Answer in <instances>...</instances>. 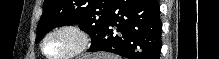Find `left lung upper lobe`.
<instances>
[{"mask_svg": "<svg viewBox=\"0 0 219 59\" xmlns=\"http://www.w3.org/2000/svg\"><path fill=\"white\" fill-rule=\"evenodd\" d=\"M113 1L44 0L35 42L55 27L79 22V27L90 35L93 44L101 35Z\"/></svg>", "mask_w": 219, "mask_h": 59, "instance_id": "5c2ea615", "label": "left lung upper lobe"}]
</instances>
